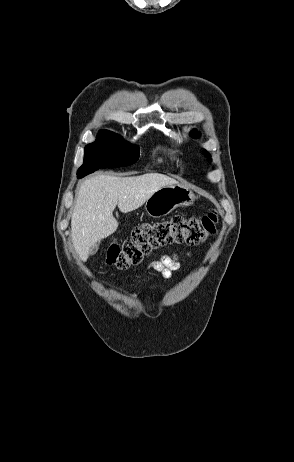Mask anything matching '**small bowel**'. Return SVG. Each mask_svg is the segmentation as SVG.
I'll return each instance as SVG.
<instances>
[{"mask_svg":"<svg viewBox=\"0 0 294 462\" xmlns=\"http://www.w3.org/2000/svg\"><path fill=\"white\" fill-rule=\"evenodd\" d=\"M181 266L182 264L176 255H162L157 260L150 262L146 269L155 270L160 273L164 279L169 280L173 272L179 270Z\"/></svg>","mask_w":294,"mask_h":462,"instance_id":"c3829d8e","label":"small bowel"}]
</instances>
